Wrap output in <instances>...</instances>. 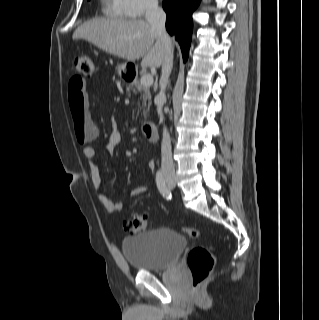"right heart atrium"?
<instances>
[{
	"instance_id": "d8ad5b80",
	"label": "right heart atrium",
	"mask_w": 319,
	"mask_h": 320,
	"mask_svg": "<svg viewBox=\"0 0 319 320\" xmlns=\"http://www.w3.org/2000/svg\"><path fill=\"white\" fill-rule=\"evenodd\" d=\"M126 16L143 17L158 7V0H119Z\"/></svg>"
}]
</instances>
